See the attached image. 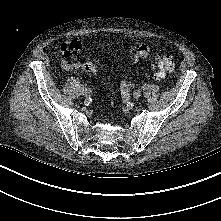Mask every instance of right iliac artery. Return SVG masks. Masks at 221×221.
I'll list each match as a JSON object with an SVG mask.
<instances>
[{
	"mask_svg": "<svg viewBox=\"0 0 221 221\" xmlns=\"http://www.w3.org/2000/svg\"><path fill=\"white\" fill-rule=\"evenodd\" d=\"M86 89H87V97H89L91 95V90L89 88Z\"/></svg>",
	"mask_w": 221,
	"mask_h": 221,
	"instance_id": "right-iliac-artery-1",
	"label": "right iliac artery"
}]
</instances>
